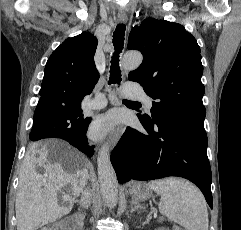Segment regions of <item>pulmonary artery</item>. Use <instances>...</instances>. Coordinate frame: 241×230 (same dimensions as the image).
Returning <instances> with one entry per match:
<instances>
[{
	"mask_svg": "<svg viewBox=\"0 0 241 230\" xmlns=\"http://www.w3.org/2000/svg\"><path fill=\"white\" fill-rule=\"evenodd\" d=\"M123 94L131 100L143 101L148 108H151L153 105V100L143 93L135 83H125L123 86ZM106 104V98L103 95H98L88 102V107L91 109H101L105 107Z\"/></svg>",
	"mask_w": 241,
	"mask_h": 230,
	"instance_id": "pulmonary-artery-1",
	"label": "pulmonary artery"
}]
</instances>
